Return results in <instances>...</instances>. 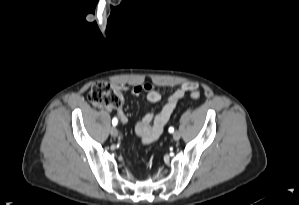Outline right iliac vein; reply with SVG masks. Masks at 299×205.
Returning <instances> with one entry per match:
<instances>
[{"label":"right iliac vein","mask_w":299,"mask_h":205,"mask_svg":"<svg viewBox=\"0 0 299 205\" xmlns=\"http://www.w3.org/2000/svg\"><path fill=\"white\" fill-rule=\"evenodd\" d=\"M111 136L116 138L118 136V130L115 127H112L110 130Z\"/></svg>","instance_id":"63e3f726"}]
</instances>
